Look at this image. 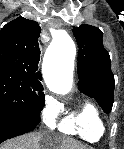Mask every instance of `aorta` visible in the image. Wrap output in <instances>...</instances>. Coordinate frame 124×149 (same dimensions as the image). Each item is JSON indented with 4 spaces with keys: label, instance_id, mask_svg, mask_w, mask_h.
<instances>
[{
    "label": "aorta",
    "instance_id": "aorta-1",
    "mask_svg": "<svg viewBox=\"0 0 124 149\" xmlns=\"http://www.w3.org/2000/svg\"><path fill=\"white\" fill-rule=\"evenodd\" d=\"M54 47L57 54V63L54 67L44 65V80L50 91L57 94H66L72 86L75 45L65 31H60Z\"/></svg>",
    "mask_w": 124,
    "mask_h": 149
}]
</instances>
